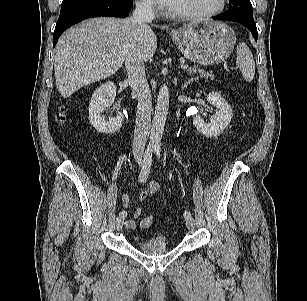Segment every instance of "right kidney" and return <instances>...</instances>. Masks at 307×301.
<instances>
[{
    "mask_svg": "<svg viewBox=\"0 0 307 301\" xmlns=\"http://www.w3.org/2000/svg\"><path fill=\"white\" fill-rule=\"evenodd\" d=\"M116 97V87L113 82L108 81L98 87L89 103V122L100 133L113 134L117 132L124 121V116L118 113L116 117L105 121L102 112L110 107Z\"/></svg>",
    "mask_w": 307,
    "mask_h": 301,
    "instance_id": "ca27d5eb",
    "label": "right kidney"
}]
</instances>
